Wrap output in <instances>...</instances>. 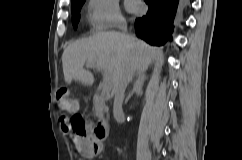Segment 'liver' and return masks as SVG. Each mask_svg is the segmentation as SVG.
Returning a JSON list of instances; mask_svg holds the SVG:
<instances>
[{"label":"liver","mask_w":242,"mask_h":160,"mask_svg":"<svg viewBox=\"0 0 242 160\" xmlns=\"http://www.w3.org/2000/svg\"><path fill=\"white\" fill-rule=\"evenodd\" d=\"M162 57V50L153 47L135 37L118 32H105L92 37L77 40L68 45L62 55L64 79L67 84L77 80L85 85L94 83V76L84 69V65L91 64L99 71H106L113 85L126 68H139V77H144L152 60Z\"/></svg>","instance_id":"obj_1"}]
</instances>
